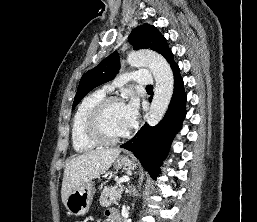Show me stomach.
I'll return each instance as SVG.
<instances>
[{"label": "stomach", "instance_id": "obj_1", "mask_svg": "<svg viewBox=\"0 0 257 222\" xmlns=\"http://www.w3.org/2000/svg\"><path fill=\"white\" fill-rule=\"evenodd\" d=\"M114 167L117 169L123 168L124 170H134L136 168V164L127 156H119L114 161ZM93 193L94 189L92 181L73 190L66 200L65 206L68 212L75 216L85 215L89 211L93 199Z\"/></svg>", "mask_w": 257, "mask_h": 222}]
</instances>
